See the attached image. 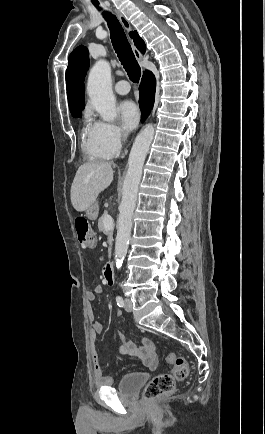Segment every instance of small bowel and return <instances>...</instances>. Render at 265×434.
<instances>
[{
	"instance_id": "c3829d8e",
	"label": "small bowel",
	"mask_w": 265,
	"mask_h": 434,
	"mask_svg": "<svg viewBox=\"0 0 265 434\" xmlns=\"http://www.w3.org/2000/svg\"><path fill=\"white\" fill-rule=\"evenodd\" d=\"M102 285H96L93 290L86 292L85 297L89 305H91L96 298L97 294L102 293ZM116 317L122 318V311L116 310ZM89 318L93 322L91 334L95 338L102 332V323L94 318V312L92 308H89ZM121 347L120 350L125 354H134L141 358L150 369H155L157 367V357L154 342L149 337L141 338V345H138L134 340L128 339L125 335H120ZM93 373L96 378H98L99 387H109L111 385V380L107 378L102 372V366L98 355L93 356L92 360Z\"/></svg>"
}]
</instances>
